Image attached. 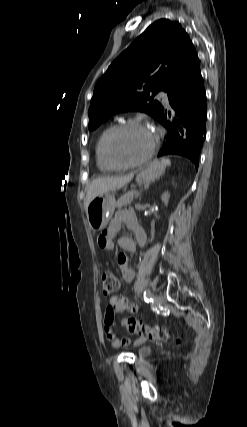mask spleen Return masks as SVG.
Returning <instances> with one entry per match:
<instances>
[{
  "label": "spleen",
  "instance_id": "3e777b00",
  "mask_svg": "<svg viewBox=\"0 0 247 427\" xmlns=\"http://www.w3.org/2000/svg\"><path fill=\"white\" fill-rule=\"evenodd\" d=\"M161 165H163L164 167L165 166H170L171 165V161L169 160V159H167V158H163L162 160H161V162H159ZM154 164H156V162H154Z\"/></svg>",
  "mask_w": 247,
  "mask_h": 427
}]
</instances>
